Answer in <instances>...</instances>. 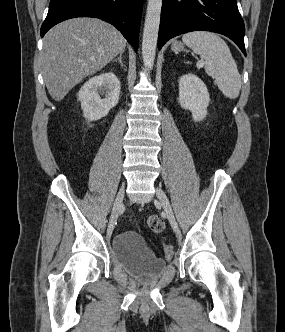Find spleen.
<instances>
[{
  "label": "spleen",
  "mask_w": 285,
  "mask_h": 332,
  "mask_svg": "<svg viewBox=\"0 0 285 332\" xmlns=\"http://www.w3.org/2000/svg\"><path fill=\"white\" fill-rule=\"evenodd\" d=\"M182 41L204 60L206 73L215 78L225 97L235 99L241 89V76L227 43L217 34L194 31L183 35Z\"/></svg>",
  "instance_id": "obj_1"
}]
</instances>
